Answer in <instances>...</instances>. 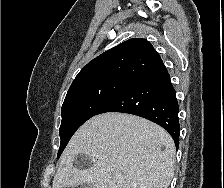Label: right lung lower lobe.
<instances>
[{
  "instance_id": "1",
  "label": "right lung lower lobe",
  "mask_w": 224,
  "mask_h": 188,
  "mask_svg": "<svg viewBox=\"0 0 224 188\" xmlns=\"http://www.w3.org/2000/svg\"><path fill=\"white\" fill-rule=\"evenodd\" d=\"M106 112L129 113L157 123L169 132L176 148L179 146V107L169 73L163 62L149 67L134 78L96 115Z\"/></svg>"
}]
</instances>
